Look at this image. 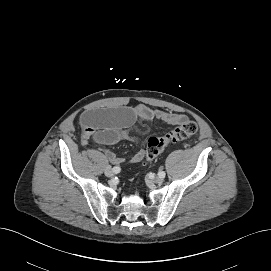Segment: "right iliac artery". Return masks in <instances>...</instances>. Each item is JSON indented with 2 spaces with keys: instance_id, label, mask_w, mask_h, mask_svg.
Instances as JSON below:
<instances>
[{
  "instance_id": "obj_1",
  "label": "right iliac artery",
  "mask_w": 271,
  "mask_h": 271,
  "mask_svg": "<svg viewBox=\"0 0 271 271\" xmlns=\"http://www.w3.org/2000/svg\"><path fill=\"white\" fill-rule=\"evenodd\" d=\"M112 170H113L114 173L117 174V173H119L121 171V168L118 167V166H115V167L112 168Z\"/></svg>"
}]
</instances>
